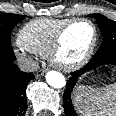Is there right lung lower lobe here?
Instances as JSON below:
<instances>
[{
	"instance_id": "right-lung-lower-lobe-1",
	"label": "right lung lower lobe",
	"mask_w": 116,
	"mask_h": 116,
	"mask_svg": "<svg viewBox=\"0 0 116 116\" xmlns=\"http://www.w3.org/2000/svg\"><path fill=\"white\" fill-rule=\"evenodd\" d=\"M12 54L0 63V116H25L27 110L26 88L34 78L32 73L19 70Z\"/></svg>"
}]
</instances>
